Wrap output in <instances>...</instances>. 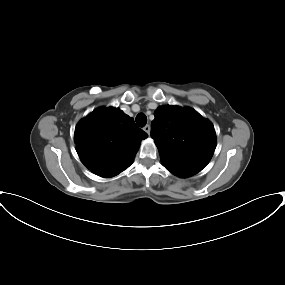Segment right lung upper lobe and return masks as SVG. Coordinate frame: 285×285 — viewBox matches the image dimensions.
Returning <instances> with one entry per match:
<instances>
[{"mask_svg":"<svg viewBox=\"0 0 285 285\" xmlns=\"http://www.w3.org/2000/svg\"><path fill=\"white\" fill-rule=\"evenodd\" d=\"M147 137L133 118L114 107L94 110L77 124L74 134L82 163L104 178L128 168Z\"/></svg>","mask_w":285,"mask_h":285,"instance_id":"obj_1","label":"right lung upper lobe"}]
</instances>
